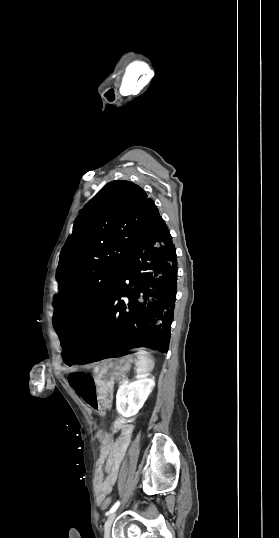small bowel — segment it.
<instances>
[{
    "instance_id": "obj_1",
    "label": "small bowel",
    "mask_w": 279,
    "mask_h": 538,
    "mask_svg": "<svg viewBox=\"0 0 279 538\" xmlns=\"http://www.w3.org/2000/svg\"><path fill=\"white\" fill-rule=\"evenodd\" d=\"M69 384L75 394L98 415L103 416L104 408L97 398L96 385L94 378L85 372H75L69 376ZM113 431H119L120 434L116 441L107 442L106 433L99 430L97 438L101 445L99 458L97 461L98 468V498L102 501L104 497L111 493L114 484L117 481L120 464L129 447L134 432L132 424H121L116 422ZM106 472V476L104 472Z\"/></svg>"
}]
</instances>
